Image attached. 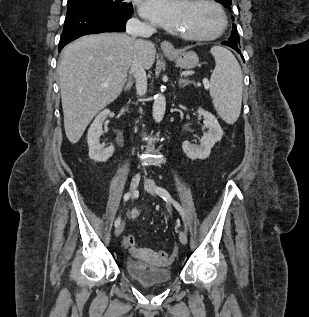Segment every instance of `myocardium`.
<instances>
[{"label": "myocardium", "instance_id": "1", "mask_svg": "<svg viewBox=\"0 0 309 317\" xmlns=\"http://www.w3.org/2000/svg\"><path fill=\"white\" fill-rule=\"evenodd\" d=\"M194 3H204L213 7L219 17V25L217 29L210 34H189L180 33V36L186 40L196 41V42H206L218 39L221 37L227 29L228 19L222 6L215 0H189Z\"/></svg>", "mask_w": 309, "mask_h": 317}]
</instances>
